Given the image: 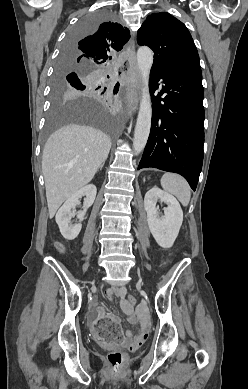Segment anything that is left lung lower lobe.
Returning <instances> with one entry per match:
<instances>
[{"label": "left lung lower lobe", "mask_w": 248, "mask_h": 389, "mask_svg": "<svg viewBox=\"0 0 248 389\" xmlns=\"http://www.w3.org/2000/svg\"><path fill=\"white\" fill-rule=\"evenodd\" d=\"M160 79L164 85L155 96ZM149 87L151 131L138 169L153 167L178 173L195 191L202 169L204 144L201 68L163 70L152 67Z\"/></svg>", "instance_id": "left-lung-lower-lobe-1"}]
</instances>
